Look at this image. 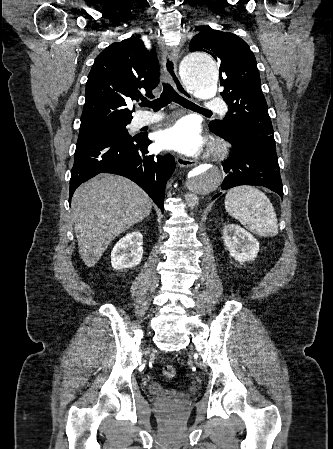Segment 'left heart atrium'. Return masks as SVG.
<instances>
[{
    "label": "left heart atrium",
    "mask_w": 333,
    "mask_h": 449,
    "mask_svg": "<svg viewBox=\"0 0 333 449\" xmlns=\"http://www.w3.org/2000/svg\"><path fill=\"white\" fill-rule=\"evenodd\" d=\"M158 143L185 155H195L202 147V138L196 126L189 120H180L157 134Z\"/></svg>",
    "instance_id": "left-heart-atrium-1"
}]
</instances>
